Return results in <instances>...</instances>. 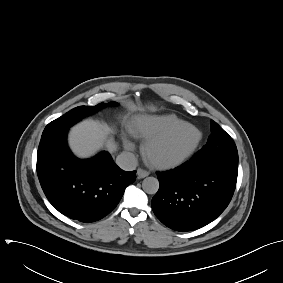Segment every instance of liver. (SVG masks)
Returning a JSON list of instances; mask_svg holds the SVG:
<instances>
[{
	"instance_id": "liver-1",
	"label": "liver",
	"mask_w": 283,
	"mask_h": 283,
	"mask_svg": "<svg viewBox=\"0 0 283 283\" xmlns=\"http://www.w3.org/2000/svg\"><path fill=\"white\" fill-rule=\"evenodd\" d=\"M111 132L112 128L106 123L84 120L72 127L69 134V146L73 153L80 158L94 155L103 146L112 153L116 150V145L107 140Z\"/></svg>"
}]
</instances>
